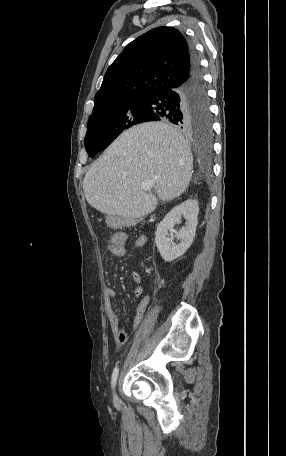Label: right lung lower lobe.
Here are the masks:
<instances>
[{"instance_id": "98d812e1", "label": "right lung lower lobe", "mask_w": 286, "mask_h": 456, "mask_svg": "<svg viewBox=\"0 0 286 456\" xmlns=\"http://www.w3.org/2000/svg\"><path fill=\"white\" fill-rule=\"evenodd\" d=\"M143 101L148 109L146 121H168L189 129L207 119L210 115L207 92L198 57L191 46L186 80L152 93Z\"/></svg>"}]
</instances>
